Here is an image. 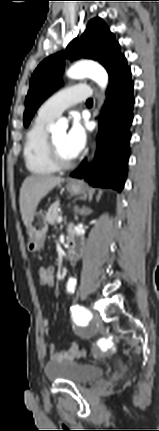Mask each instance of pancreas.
I'll return each instance as SVG.
<instances>
[{
	"label": "pancreas",
	"instance_id": "pancreas-1",
	"mask_svg": "<svg viewBox=\"0 0 159 431\" xmlns=\"http://www.w3.org/2000/svg\"><path fill=\"white\" fill-rule=\"evenodd\" d=\"M59 203L56 202L50 206L46 213V221L50 225H54L56 222V219L60 216V212L58 211Z\"/></svg>",
	"mask_w": 159,
	"mask_h": 431
}]
</instances>
